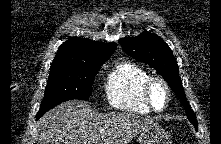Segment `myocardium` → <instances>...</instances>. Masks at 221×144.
<instances>
[{"mask_svg":"<svg viewBox=\"0 0 221 144\" xmlns=\"http://www.w3.org/2000/svg\"><path fill=\"white\" fill-rule=\"evenodd\" d=\"M157 83L162 85L165 92H166V103H165L164 107L161 108V109H158L153 105L152 98H151L152 87ZM142 93H143V99H144L145 104L153 112H163V111H165L168 108V106L171 102V89H170V86L166 82V80L163 79L160 76H150L143 84Z\"/></svg>","mask_w":221,"mask_h":144,"instance_id":"f54148a6","label":"myocardium"}]
</instances>
